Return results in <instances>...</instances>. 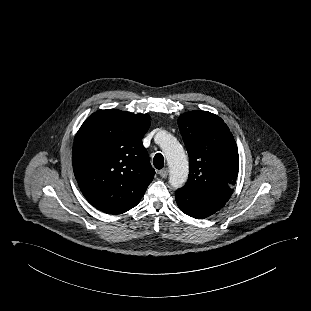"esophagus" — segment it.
Returning a JSON list of instances; mask_svg holds the SVG:
<instances>
[{"label":"esophagus","instance_id":"1","mask_svg":"<svg viewBox=\"0 0 311 311\" xmlns=\"http://www.w3.org/2000/svg\"><path fill=\"white\" fill-rule=\"evenodd\" d=\"M168 173H169V170L167 168H164L162 170L159 171V175L162 177V178H166L168 176Z\"/></svg>","mask_w":311,"mask_h":311}]
</instances>
